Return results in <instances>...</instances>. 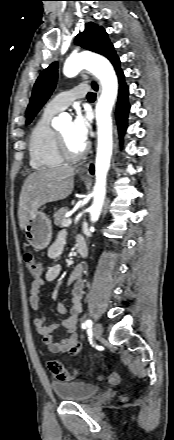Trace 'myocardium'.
I'll return each mask as SVG.
<instances>
[{"label":"myocardium","mask_w":174,"mask_h":440,"mask_svg":"<svg viewBox=\"0 0 174 440\" xmlns=\"http://www.w3.org/2000/svg\"><path fill=\"white\" fill-rule=\"evenodd\" d=\"M56 134H57L58 150L64 160L76 161V160H79L80 158H82L86 154V152L88 150L87 145H84L83 148L79 152H76V153L72 152L69 149V147L66 143V140L63 137V135L61 134V132L57 131Z\"/></svg>","instance_id":"myocardium-1"}]
</instances>
